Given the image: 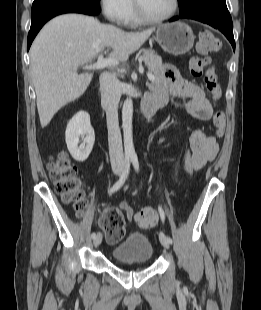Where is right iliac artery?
<instances>
[{
	"label": "right iliac artery",
	"mask_w": 261,
	"mask_h": 310,
	"mask_svg": "<svg viewBox=\"0 0 261 310\" xmlns=\"http://www.w3.org/2000/svg\"><path fill=\"white\" fill-rule=\"evenodd\" d=\"M129 171H130V158L126 157L123 173H122L121 177L119 178V180L109 189V191H108L109 194L116 192L117 190H119L123 186V184L125 183V181L127 179ZM95 236H96V233L93 232L91 234V237L94 239Z\"/></svg>",
	"instance_id": "right-iliac-artery-1"
}]
</instances>
